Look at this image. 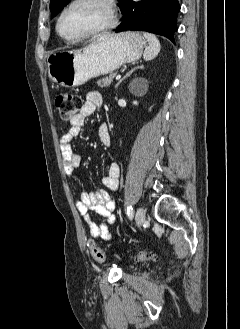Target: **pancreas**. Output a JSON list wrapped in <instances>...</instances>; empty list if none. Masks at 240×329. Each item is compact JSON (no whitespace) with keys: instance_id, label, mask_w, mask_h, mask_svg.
Here are the masks:
<instances>
[{"instance_id":"obj_1","label":"pancreas","mask_w":240,"mask_h":329,"mask_svg":"<svg viewBox=\"0 0 240 329\" xmlns=\"http://www.w3.org/2000/svg\"><path fill=\"white\" fill-rule=\"evenodd\" d=\"M116 75L117 73H112L111 75L98 80L97 85L101 88L109 86L113 81V79L116 77Z\"/></svg>"}]
</instances>
